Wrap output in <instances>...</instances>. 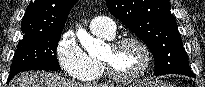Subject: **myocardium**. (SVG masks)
Listing matches in <instances>:
<instances>
[{"mask_svg":"<svg viewBox=\"0 0 205 87\" xmlns=\"http://www.w3.org/2000/svg\"><path fill=\"white\" fill-rule=\"evenodd\" d=\"M126 43H134L142 49V51L144 53V57H145L144 65L135 74L122 75V74L117 73L114 70V68L112 67L111 63L108 60L100 58L99 62L102 66V69L104 71L105 76L107 78H109L110 80L115 81V82L131 83V82H135L137 80H140L141 78H143L146 75V73L149 71V69L151 67V62H152L151 51H150L149 47L147 46V44L143 40H141L140 38H137L134 36H126V37L113 39L108 43V47L110 48L111 51H115L119 47H121L122 45H124Z\"/></svg>","mask_w":205,"mask_h":87,"instance_id":"myocardium-1","label":"myocardium"}]
</instances>
